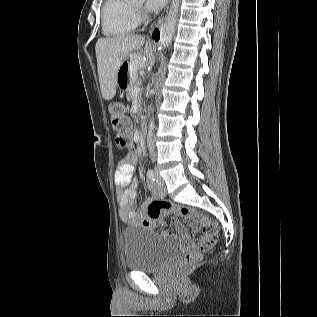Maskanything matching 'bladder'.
<instances>
[{
	"instance_id": "31cf9c89",
	"label": "bladder",
	"mask_w": 317,
	"mask_h": 317,
	"mask_svg": "<svg viewBox=\"0 0 317 317\" xmlns=\"http://www.w3.org/2000/svg\"><path fill=\"white\" fill-rule=\"evenodd\" d=\"M178 251L176 240L157 236L144 226H130L124 231V259L128 270H158Z\"/></svg>"
}]
</instances>
